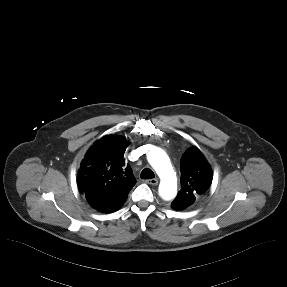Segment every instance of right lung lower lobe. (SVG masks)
Masks as SVG:
<instances>
[{
    "instance_id": "right-lung-lower-lobe-1",
    "label": "right lung lower lobe",
    "mask_w": 287,
    "mask_h": 287,
    "mask_svg": "<svg viewBox=\"0 0 287 287\" xmlns=\"http://www.w3.org/2000/svg\"><path fill=\"white\" fill-rule=\"evenodd\" d=\"M128 193H122L112 198L86 197L88 203L102 213H110L118 210L126 201Z\"/></svg>"
}]
</instances>
